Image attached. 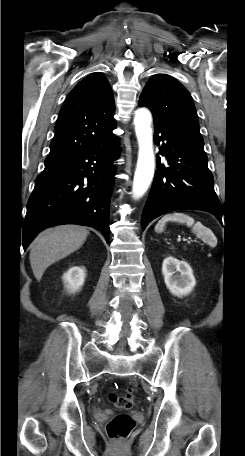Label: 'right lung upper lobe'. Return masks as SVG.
<instances>
[{
  "label": "right lung upper lobe",
  "instance_id": "right-lung-upper-lobe-1",
  "mask_svg": "<svg viewBox=\"0 0 245 456\" xmlns=\"http://www.w3.org/2000/svg\"><path fill=\"white\" fill-rule=\"evenodd\" d=\"M115 103L107 79L93 73L68 94L57 119L45 166L72 158L115 128Z\"/></svg>",
  "mask_w": 245,
  "mask_h": 456
}]
</instances>
